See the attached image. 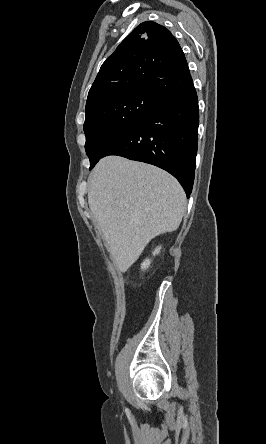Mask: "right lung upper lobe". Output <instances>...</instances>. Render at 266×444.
Masks as SVG:
<instances>
[{"instance_id":"obj_1","label":"right lung upper lobe","mask_w":266,"mask_h":444,"mask_svg":"<svg viewBox=\"0 0 266 444\" xmlns=\"http://www.w3.org/2000/svg\"><path fill=\"white\" fill-rule=\"evenodd\" d=\"M191 82L187 61L176 38L162 25L143 22L101 66L89 90L86 110L126 92L145 91L161 99Z\"/></svg>"}]
</instances>
